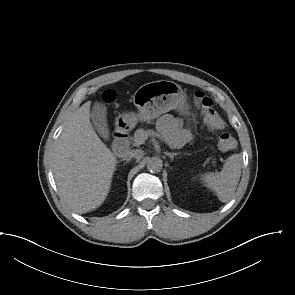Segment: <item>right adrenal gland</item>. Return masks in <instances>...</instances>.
<instances>
[{
	"instance_id": "obj_1",
	"label": "right adrenal gland",
	"mask_w": 295,
	"mask_h": 295,
	"mask_svg": "<svg viewBox=\"0 0 295 295\" xmlns=\"http://www.w3.org/2000/svg\"><path fill=\"white\" fill-rule=\"evenodd\" d=\"M129 160H130V158H126V157H125V158H122L120 161H118V163H119V162H122V161H126V163H127V162H129Z\"/></svg>"
}]
</instances>
